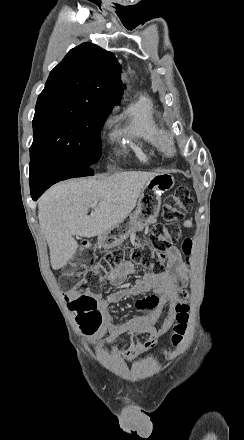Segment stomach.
Masks as SVG:
<instances>
[{"label":"stomach","instance_id":"1","mask_svg":"<svg viewBox=\"0 0 244 440\" xmlns=\"http://www.w3.org/2000/svg\"><path fill=\"white\" fill-rule=\"evenodd\" d=\"M175 186V178L168 172L155 174L146 182L138 200L137 208L133 214L124 218L110 230L98 236V246L101 248H116L120 246L130 234L141 232L145 226L158 218L161 208V196Z\"/></svg>","mask_w":244,"mask_h":440}]
</instances>
